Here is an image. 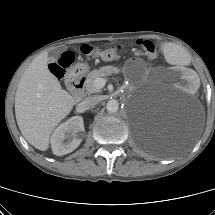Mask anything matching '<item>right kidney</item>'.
Here are the masks:
<instances>
[{"label": "right kidney", "instance_id": "ca27d5eb", "mask_svg": "<svg viewBox=\"0 0 215 215\" xmlns=\"http://www.w3.org/2000/svg\"><path fill=\"white\" fill-rule=\"evenodd\" d=\"M84 131L83 118L81 116H73L60 124L51 136L53 153L57 156L71 153L80 145Z\"/></svg>", "mask_w": 215, "mask_h": 215}]
</instances>
